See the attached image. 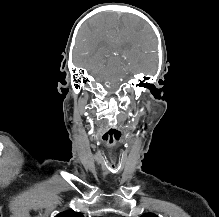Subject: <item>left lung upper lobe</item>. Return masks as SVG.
<instances>
[{"label":"left lung upper lobe","mask_w":219,"mask_h":217,"mask_svg":"<svg viewBox=\"0 0 219 217\" xmlns=\"http://www.w3.org/2000/svg\"><path fill=\"white\" fill-rule=\"evenodd\" d=\"M141 217H158V216L153 213H146V214H143Z\"/></svg>","instance_id":"left-lung-upper-lobe-1"}]
</instances>
